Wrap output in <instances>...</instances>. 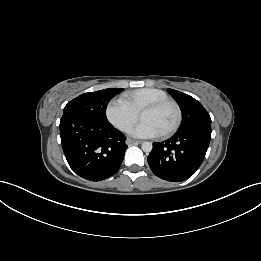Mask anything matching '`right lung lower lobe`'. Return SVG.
<instances>
[{
  "label": "right lung lower lobe",
  "mask_w": 261,
  "mask_h": 261,
  "mask_svg": "<svg viewBox=\"0 0 261 261\" xmlns=\"http://www.w3.org/2000/svg\"><path fill=\"white\" fill-rule=\"evenodd\" d=\"M60 136L69 166L90 181L115 174L127 149L125 136L108 121L66 114L60 121Z\"/></svg>",
  "instance_id": "1"
}]
</instances>
